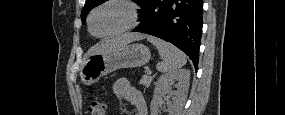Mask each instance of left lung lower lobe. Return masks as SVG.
<instances>
[{
    "label": "left lung lower lobe",
    "mask_w": 285,
    "mask_h": 115,
    "mask_svg": "<svg viewBox=\"0 0 285 115\" xmlns=\"http://www.w3.org/2000/svg\"><path fill=\"white\" fill-rule=\"evenodd\" d=\"M201 0H144L133 30L166 40L184 51L197 69L202 34Z\"/></svg>",
    "instance_id": "0a47b994"
}]
</instances>
